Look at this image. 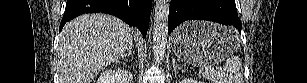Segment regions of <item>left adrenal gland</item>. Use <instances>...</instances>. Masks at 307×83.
Segmentation results:
<instances>
[{"mask_svg": "<svg viewBox=\"0 0 307 83\" xmlns=\"http://www.w3.org/2000/svg\"><path fill=\"white\" fill-rule=\"evenodd\" d=\"M176 69L181 70V71H185L183 68H181L177 63L175 58L173 57V70L176 71Z\"/></svg>", "mask_w": 307, "mask_h": 83, "instance_id": "obj_1", "label": "left adrenal gland"}]
</instances>
